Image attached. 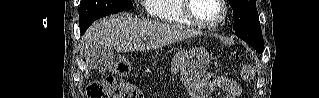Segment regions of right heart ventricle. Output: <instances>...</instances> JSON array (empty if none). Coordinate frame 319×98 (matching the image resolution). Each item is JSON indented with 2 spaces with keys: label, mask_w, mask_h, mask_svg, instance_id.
<instances>
[{
  "label": "right heart ventricle",
  "mask_w": 319,
  "mask_h": 98,
  "mask_svg": "<svg viewBox=\"0 0 319 98\" xmlns=\"http://www.w3.org/2000/svg\"><path fill=\"white\" fill-rule=\"evenodd\" d=\"M182 0H146L152 18L173 24L192 25L182 10Z\"/></svg>",
  "instance_id": "obj_1"
}]
</instances>
